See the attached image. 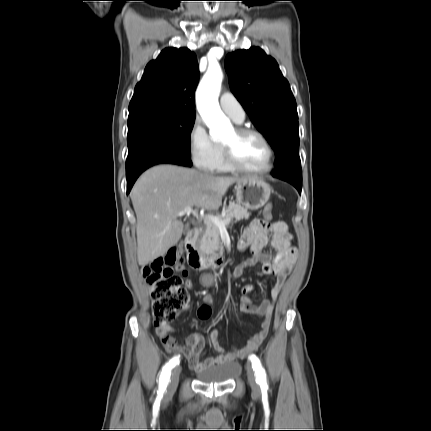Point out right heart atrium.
Masks as SVG:
<instances>
[{
    "instance_id": "1",
    "label": "right heart atrium",
    "mask_w": 431,
    "mask_h": 431,
    "mask_svg": "<svg viewBox=\"0 0 431 431\" xmlns=\"http://www.w3.org/2000/svg\"><path fill=\"white\" fill-rule=\"evenodd\" d=\"M189 153L194 165L203 171H212L221 156L222 146L209 135L200 120H195L188 135Z\"/></svg>"
}]
</instances>
